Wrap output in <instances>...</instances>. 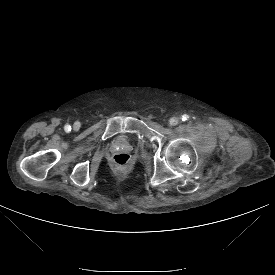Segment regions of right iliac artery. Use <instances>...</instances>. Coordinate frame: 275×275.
<instances>
[{"label":"right iliac artery","mask_w":275,"mask_h":275,"mask_svg":"<svg viewBox=\"0 0 275 275\" xmlns=\"http://www.w3.org/2000/svg\"><path fill=\"white\" fill-rule=\"evenodd\" d=\"M64 129L66 132H69V131H71V126L67 124V125H65Z\"/></svg>","instance_id":"obj_1"}]
</instances>
